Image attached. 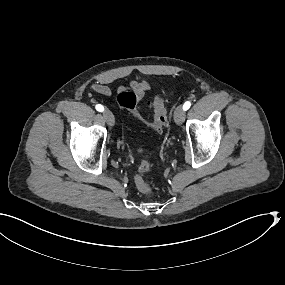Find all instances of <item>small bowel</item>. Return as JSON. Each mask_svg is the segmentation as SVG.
Masks as SVG:
<instances>
[{
	"instance_id": "small-bowel-1",
	"label": "small bowel",
	"mask_w": 285,
	"mask_h": 285,
	"mask_svg": "<svg viewBox=\"0 0 285 285\" xmlns=\"http://www.w3.org/2000/svg\"><path fill=\"white\" fill-rule=\"evenodd\" d=\"M125 88L126 87H121V90ZM128 88L131 89L140 99L148 89V84L143 80H134L130 82ZM92 89L103 96H110L111 94L109 87L104 84H94Z\"/></svg>"
}]
</instances>
